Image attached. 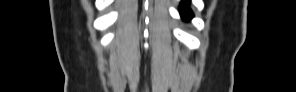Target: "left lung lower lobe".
Wrapping results in <instances>:
<instances>
[{
	"instance_id": "left-lung-lower-lobe-1",
	"label": "left lung lower lobe",
	"mask_w": 296,
	"mask_h": 92,
	"mask_svg": "<svg viewBox=\"0 0 296 92\" xmlns=\"http://www.w3.org/2000/svg\"><path fill=\"white\" fill-rule=\"evenodd\" d=\"M190 0H183L180 5V14L182 17L186 16L188 19L193 16L192 11L189 9Z\"/></svg>"
}]
</instances>
